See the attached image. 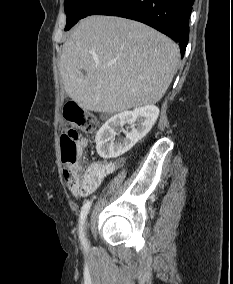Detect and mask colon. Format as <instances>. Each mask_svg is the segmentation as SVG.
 <instances>
[{"mask_svg": "<svg viewBox=\"0 0 233 284\" xmlns=\"http://www.w3.org/2000/svg\"><path fill=\"white\" fill-rule=\"evenodd\" d=\"M64 116L85 133H92L98 127L97 116L86 111L75 101H70L65 105ZM84 143L83 137L76 129H70L61 136L64 178L70 191L77 195L89 194L94 189L92 177L83 171L77 163Z\"/></svg>", "mask_w": 233, "mask_h": 284, "instance_id": "obj_1", "label": "colon"}]
</instances>
